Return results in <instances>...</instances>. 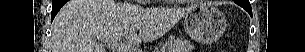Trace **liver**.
<instances>
[{
	"mask_svg": "<svg viewBox=\"0 0 305 52\" xmlns=\"http://www.w3.org/2000/svg\"><path fill=\"white\" fill-rule=\"evenodd\" d=\"M185 8H143L113 0H70L52 24V52H105L102 42H151L169 31ZM138 33V34H137Z\"/></svg>",
	"mask_w": 305,
	"mask_h": 52,
	"instance_id": "6515ba94",
	"label": "liver"
}]
</instances>
